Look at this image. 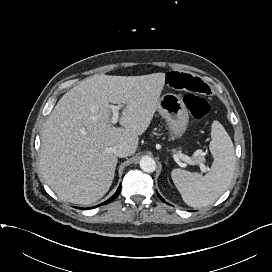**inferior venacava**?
Returning a JSON list of instances; mask_svg holds the SVG:
<instances>
[{"instance_id":"obj_1","label":"inferior vena cava","mask_w":272,"mask_h":272,"mask_svg":"<svg viewBox=\"0 0 272 272\" xmlns=\"http://www.w3.org/2000/svg\"><path fill=\"white\" fill-rule=\"evenodd\" d=\"M112 152L118 157H126L129 155V148L126 144H118L112 148Z\"/></svg>"}]
</instances>
